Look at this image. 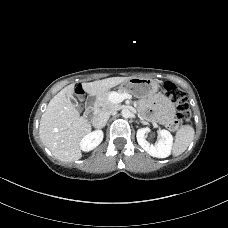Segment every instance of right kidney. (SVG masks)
<instances>
[{
  "label": "right kidney",
  "mask_w": 228,
  "mask_h": 228,
  "mask_svg": "<svg viewBox=\"0 0 228 228\" xmlns=\"http://www.w3.org/2000/svg\"><path fill=\"white\" fill-rule=\"evenodd\" d=\"M103 136L104 135L101 130L88 133L82 138L80 148L85 152L95 149L102 142Z\"/></svg>",
  "instance_id": "ca27d5eb"
}]
</instances>
